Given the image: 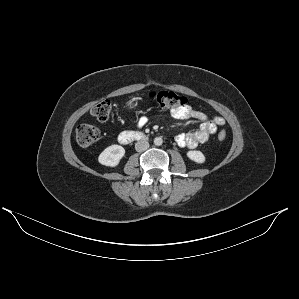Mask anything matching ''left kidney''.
<instances>
[{"instance_id": "obj_1", "label": "left kidney", "mask_w": 299, "mask_h": 299, "mask_svg": "<svg viewBox=\"0 0 299 299\" xmlns=\"http://www.w3.org/2000/svg\"><path fill=\"white\" fill-rule=\"evenodd\" d=\"M187 157L199 164H202L205 162V156L202 152L194 150V151H188L187 152Z\"/></svg>"}]
</instances>
